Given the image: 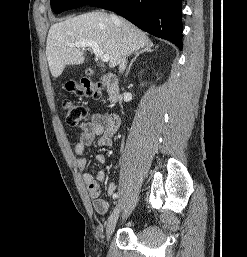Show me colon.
I'll return each instance as SVG.
<instances>
[{
	"mask_svg": "<svg viewBox=\"0 0 247 257\" xmlns=\"http://www.w3.org/2000/svg\"><path fill=\"white\" fill-rule=\"evenodd\" d=\"M66 89L79 98H99L101 93L100 84H95L88 79H82L79 83L70 82L66 85ZM62 107L66 122L71 127H82L89 119L88 110L80 104L65 100L63 101Z\"/></svg>",
	"mask_w": 247,
	"mask_h": 257,
	"instance_id": "5ec220e1",
	"label": "colon"
}]
</instances>
